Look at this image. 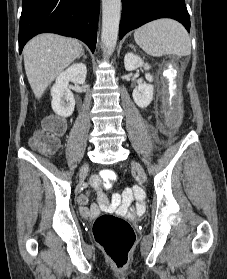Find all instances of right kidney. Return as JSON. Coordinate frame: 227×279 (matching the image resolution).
<instances>
[{"mask_svg": "<svg viewBox=\"0 0 227 279\" xmlns=\"http://www.w3.org/2000/svg\"><path fill=\"white\" fill-rule=\"evenodd\" d=\"M86 74L85 64L74 63L57 76L56 82L51 88V106L56 114L62 117H69L73 114L75 99L73 93L68 89V84L70 81L75 84L84 83Z\"/></svg>", "mask_w": 227, "mask_h": 279, "instance_id": "right-kidney-1", "label": "right kidney"}]
</instances>
